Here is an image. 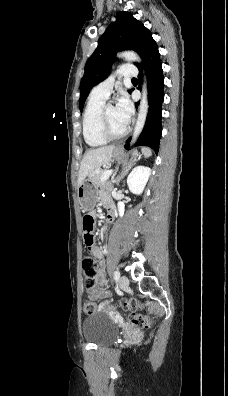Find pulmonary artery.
I'll list each match as a JSON object with an SVG mask.
<instances>
[{
  "mask_svg": "<svg viewBox=\"0 0 228 396\" xmlns=\"http://www.w3.org/2000/svg\"><path fill=\"white\" fill-rule=\"evenodd\" d=\"M119 75L130 79V78H134L135 76H137V69L134 66H122L118 72ZM115 82V75H111L108 78H106L104 81L100 82L99 84H97L93 89H92V93L96 96L102 97V98H108L113 85Z\"/></svg>",
  "mask_w": 228,
  "mask_h": 396,
  "instance_id": "obj_1",
  "label": "pulmonary artery"
}]
</instances>
